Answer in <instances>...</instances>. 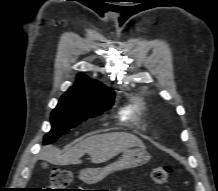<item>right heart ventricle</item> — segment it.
<instances>
[{
    "label": "right heart ventricle",
    "instance_id": "obj_1",
    "mask_svg": "<svg viewBox=\"0 0 218 191\" xmlns=\"http://www.w3.org/2000/svg\"><path fill=\"white\" fill-rule=\"evenodd\" d=\"M145 111V104L142 100H135L132 103H130L126 108L124 109V115L134 117L135 119H138V117ZM140 125L145 128V123L140 122Z\"/></svg>",
    "mask_w": 218,
    "mask_h": 191
}]
</instances>
